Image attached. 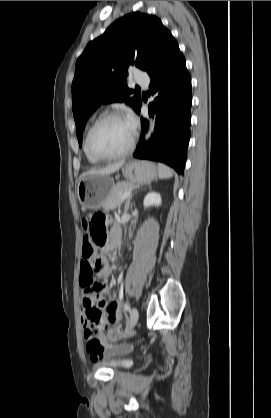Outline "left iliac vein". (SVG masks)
Returning <instances> with one entry per match:
<instances>
[{
	"mask_svg": "<svg viewBox=\"0 0 271 418\" xmlns=\"http://www.w3.org/2000/svg\"><path fill=\"white\" fill-rule=\"evenodd\" d=\"M138 318V310L136 308H132L128 322V329H132L137 324Z\"/></svg>",
	"mask_w": 271,
	"mask_h": 418,
	"instance_id": "left-iliac-vein-1",
	"label": "left iliac vein"
}]
</instances>
